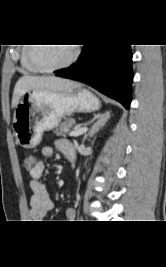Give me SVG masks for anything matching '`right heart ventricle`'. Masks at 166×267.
I'll list each match as a JSON object with an SVG mask.
<instances>
[{
  "mask_svg": "<svg viewBox=\"0 0 166 267\" xmlns=\"http://www.w3.org/2000/svg\"><path fill=\"white\" fill-rule=\"evenodd\" d=\"M29 46H23L21 49L20 63L22 68L29 73H39L40 70L34 67L28 59Z\"/></svg>",
  "mask_w": 166,
  "mask_h": 267,
  "instance_id": "e07e8e85",
  "label": "right heart ventricle"
}]
</instances>
